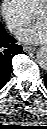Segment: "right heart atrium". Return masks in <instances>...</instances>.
Returning <instances> with one entry per match:
<instances>
[{
  "label": "right heart atrium",
  "mask_w": 47,
  "mask_h": 129,
  "mask_svg": "<svg viewBox=\"0 0 47 129\" xmlns=\"http://www.w3.org/2000/svg\"><path fill=\"white\" fill-rule=\"evenodd\" d=\"M0 8L1 15L12 32L18 31L31 18V13L21 0H2Z\"/></svg>",
  "instance_id": "right-heart-atrium-1"
}]
</instances>
